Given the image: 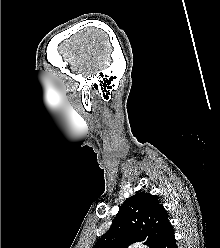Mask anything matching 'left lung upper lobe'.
<instances>
[{"label": "left lung upper lobe", "mask_w": 220, "mask_h": 248, "mask_svg": "<svg viewBox=\"0 0 220 248\" xmlns=\"http://www.w3.org/2000/svg\"><path fill=\"white\" fill-rule=\"evenodd\" d=\"M169 226L168 214L158 197L138 192L125 200L115 222L93 248H127L136 242L156 248Z\"/></svg>", "instance_id": "1"}]
</instances>
